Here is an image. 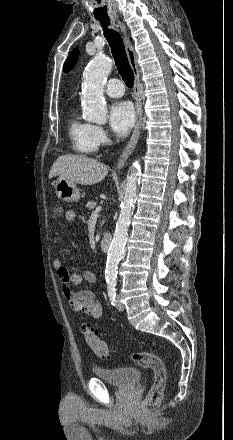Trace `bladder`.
Listing matches in <instances>:
<instances>
[{
    "instance_id": "obj_1",
    "label": "bladder",
    "mask_w": 233,
    "mask_h": 440,
    "mask_svg": "<svg viewBox=\"0 0 233 440\" xmlns=\"http://www.w3.org/2000/svg\"><path fill=\"white\" fill-rule=\"evenodd\" d=\"M92 371L96 378L118 388L134 387L141 379L140 370L133 367L105 369L95 366Z\"/></svg>"
}]
</instances>
